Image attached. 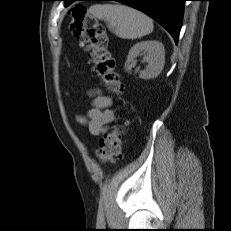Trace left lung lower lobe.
I'll return each instance as SVG.
<instances>
[{"label":"left lung lower lobe","mask_w":231,"mask_h":231,"mask_svg":"<svg viewBox=\"0 0 231 231\" xmlns=\"http://www.w3.org/2000/svg\"><path fill=\"white\" fill-rule=\"evenodd\" d=\"M65 6L75 1H118L134 7L161 24L173 37L175 43L182 25L183 5L186 0H64Z\"/></svg>","instance_id":"left-lung-lower-lobe-1"}]
</instances>
